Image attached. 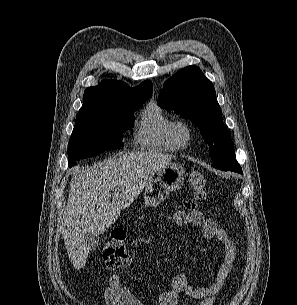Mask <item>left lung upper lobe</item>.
<instances>
[{"mask_svg": "<svg viewBox=\"0 0 297 305\" xmlns=\"http://www.w3.org/2000/svg\"><path fill=\"white\" fill-rule=\"evenodd\" d=\"M164 87L158 97L159 106L190 118L199 128L209 146L212 166L242 173L230 134L223 123L214 85L199 67L191 65L179 70L164 83Z\"/></svg>", "mask_w": 297, "mask_h": 305, "instance_id": "left-lung-upper-lobe-1", "label": "left lung upper lobe"}]
</instances>
